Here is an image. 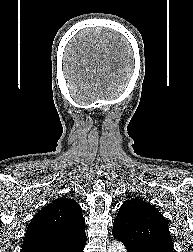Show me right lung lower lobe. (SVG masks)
<instances>
[{"mask_svg": "<svg viewBox=\"0 0 193 252\" xmlns=\"http://www.w3.org/2000/svg\"><path fill=\"white\" fill-rule=\"evenodd\" d=\"M85 244H86V240L77 244L73 248L64 251V252H84Z\"/></svg>", "mask_w": 193, "mask_h": 252, "instance_id": "1", "label": "right lung lower lobe"}]
</instances>
